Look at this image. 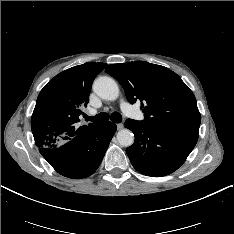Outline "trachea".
<instances>
[{"mask_svg":"<svg viewBox=\"0 0 234 234\" xmlns=\"http://www.w3.org/2000/svg\"><path fill=\"white\" fill-rule=\"evenodd\" d=\"M85 118L87 121L96 122V123L107 121L109 120V118L111 119V121L115 123H120L122 121V116L118 112H113L111 116H109V114L107 113L101 112L94 117L86 115Z\"/></svg>","mask_w":234,"mask_h":234,"instance_id":"trachea-1","label":"trachea"}]
</instances>
